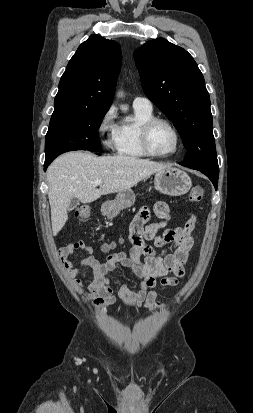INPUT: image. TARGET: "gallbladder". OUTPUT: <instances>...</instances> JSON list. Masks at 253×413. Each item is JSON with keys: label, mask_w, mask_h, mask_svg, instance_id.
I'll return each instance as SVG.
<instances>
[{"label": "gallbladder", "mask_w": 253, "mask_h": 413, "mask_svg": "<svg viewBox=\"0 0 253 413\" xmlns=\"http://www.w3.org/2000/svg\"><path fill=\"white\" fill-rule=\"evenodd\" d=\"M79 200L77 198H72V200L70 201V204L68 206V210H73L76 206L79 205Z\"/></svg>", "instance_id": "1"}]
</instances>
